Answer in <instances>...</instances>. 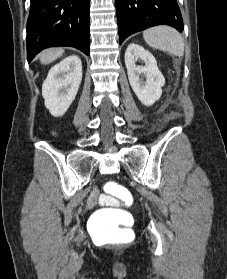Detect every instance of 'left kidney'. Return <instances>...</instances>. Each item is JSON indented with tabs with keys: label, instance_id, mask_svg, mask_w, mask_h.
Instances as JSON below:
<instances>
[{
	"label": "left kidney",
	"instance_id": "5707ae66",
	"mask_svg": "<svg viewBox=\"0 0 227 279\" xmlns=\"http://www.w3.org/2000/svg\"><path fill=\"white\" fill-rule=\"evenodd\" d=\"M141 59L145 66L136 65V60ZM125 65L129 83L142 104L151 106L162 94L165 79L157 67L155 57L138 44L131 43L125 52ZM143 75L146 80L140 78Z\"/></svg>",
	"mask_w": 227,
	"mask_h": 279
}]
</instances>
